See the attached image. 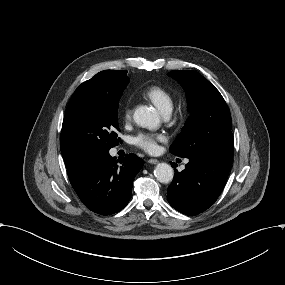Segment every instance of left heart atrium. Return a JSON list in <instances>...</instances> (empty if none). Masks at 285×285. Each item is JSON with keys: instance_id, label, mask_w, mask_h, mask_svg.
Segmentation results:
<instances>
[{"instance_id": "obj_1", "label": "left heart atrium", "mask_w": 285, "mask_h": 285, "mask_svg": "<svg viewBox=\"0 0 285 285\" xmlns=\"http://www.w3.org/2000/svg\"><path fill=\"white\" fill-rule=\"evenodd\" d=\"M164 135L160 132H140L134 137V143L145 150L152 153L157 149V142L163 140Z\"/></svg>"}]
</instances>
